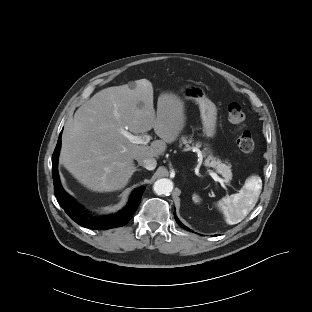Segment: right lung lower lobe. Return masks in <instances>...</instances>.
Instances as JSON below:
<instances>
[{
  "instance_id": "obj_1",
  "label": "right lung lower lobe",
  "mask_w": 312,
  "mask_h": 312,
  "mask_svg": "<svg viewBox=\"0 0 312 312\" xmlns=\"http://www.w3.org/2000/svg\"><path fill=\"white\" fill-rule=\"evenodd\" d=\"M61 134L57 142V146L52 157V174L54 183L55 196L58 199L60 206L65 210L67 215L77 224L94 229H110L115 227L124 226L131 219L135 213L138 204L140 203L141 196L145 190L144 187L136 189L130 196L127 206L120 212L102 217L100 219H89L86 216L84 208H82L70 195H68L62 188L58 174V155L61 147Z\"/></svg>"
}]
</instances>
